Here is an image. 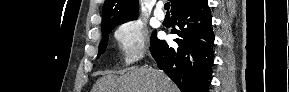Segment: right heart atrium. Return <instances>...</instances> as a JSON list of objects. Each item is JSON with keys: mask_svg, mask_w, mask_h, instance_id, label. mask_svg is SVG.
I'll return each instance as SVG.
<instances>
[{"mask_svg": "<svg viewBox=\"0 0 289 92\" xmlns=\"http://www.w3.org/2000/svg\"><path fill=\"white\" fill-rule=\"evenodd\" d=\"M114 37L126 65L135 64L147 53L148 33L144 25L136 19L120 24L115 29Z\"/></svg>", "mask_w": 289, "mask_h": 92, "instance_id": "1", "label": "right heart atrium"}]
</instances>
